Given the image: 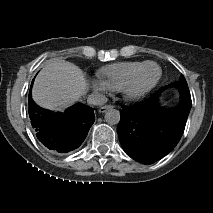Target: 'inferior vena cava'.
Returning a JSON list of instances; mask_svg holds the SVG:
<instances>
[{
    "mask_svg": "<svg viewBox=\"0 0 213 213\" xmlns=\"http://www.w3.org/2000/svg\"><path fill=\"white\" fill-rule=\"evenodd\" d=\"M106 102H107L106 96L99 92H93L87 98V103L90 105L101 106L104 105Z\"/></svg>",
    "mask_w": 213,
    "mask_h": 213,
    "instance_id": "inferior-vena-cava-1",
    "label": "inferior vena cava"
}]
</instances>
